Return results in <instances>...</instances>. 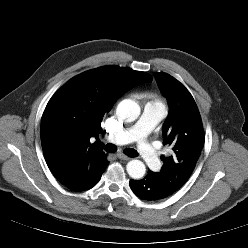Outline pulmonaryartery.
<instances>
[{"mask_svg":"<svg viewBox=\"0 0 248 248\" xmlns=\"http://www.w3.org/2000/svg\"><path fill=\"white\" fill-rule=\"evenodd\" d=\"M164 115L165 109L161 104L147 103L135 124L108 135L107 139L116 145L136 142L138 154L151 169L156 170L160 166V155L148 140V135Z\"/></svg>","mask_w":248,"mask_h":248,"instance_id":"pulmonary-artery-1","label":"pulmonary artery"}]
</instances>
